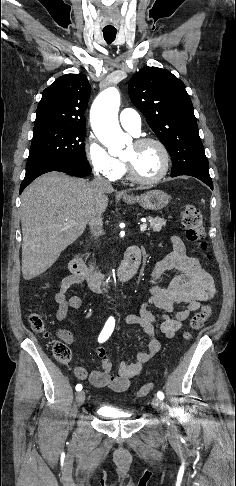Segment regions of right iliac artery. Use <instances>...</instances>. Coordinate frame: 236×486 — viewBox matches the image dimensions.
Instances as JSON below:
<instances>
[{"instance_id":"1","label":"right iliac artery","mask_w":236,"mask_h":486,"mask_svg":"<svg viewBox=\"0 0 236 486\" xmlns=\"http://www.w3.org/2000/svg\"><path fill=\"white\" fill-rule=\"evenodd\" d=\"M114 326H115V319L113 317H109L108 320L105 323L103 330L101 331V333L98 337V341L100 343L105 342L109 338V336L111 335V333L114 330ZM81 389H82V385L77 384L76 390L80 391Z\"/></svg>"}]
</instances>
